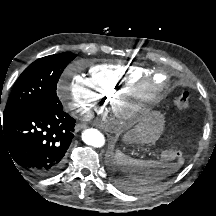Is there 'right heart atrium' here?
<instances>
[{
  "instance_id": "d8ad5b80",
  "label": "right heart atrium",
  "mask_w": 216,
  "mask_h": 216,
  "mask_svg": "<svg viewBox=\"0 0 216 216\" xmlns=\"http://www.w3.org/2000/svg\"><path fill=\"white\" fill-rule=\"evenodd\" d=\"M58 95L65 107L78 116H89L102 105L90 78L70 71L60 78Z\"/></svg>"
}]
</instances>
